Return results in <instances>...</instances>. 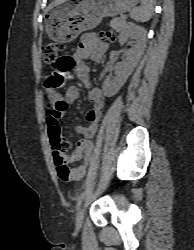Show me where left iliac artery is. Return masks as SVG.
<instances>
[{"label":"left iliac artery","instance_id":"left-iliac-artery-1","mask_svg":"<svg viewBox=\"0 0 194 250\" xmlns=\"http://www.w3.org/2000/svg\"><path fill=\"white\" fill-rule=\"evenodd\" d=\"M83 196H84V192H82V193L77 197V206H76V209H77V210H79V208H80V205H81V203H82Z\"/></svg>","mask_w":194,"mask_h":250}]
</instances>
